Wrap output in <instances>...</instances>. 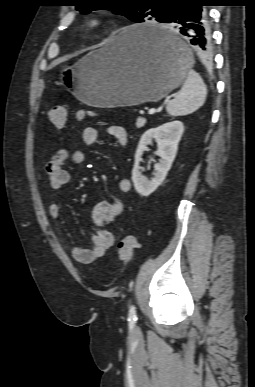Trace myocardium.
Masks as SVG:
<instances>
[{
  "instance_id": "1",
  "label": "myocardium",
  "mask_w": 255,
  "mask_h": 387,
  "mask_svg": "<svg viewBox=\"0 0 255 387\" xmlns=\"http://www.w3.org/2000/svg\"><path fill=\"white\" fill-rule=\"evenodd\" d=\"M105 24L103 17L97 14H88L83 22L86 32L93 33L100 30Z\"/></svg>"
}]
</instances>
